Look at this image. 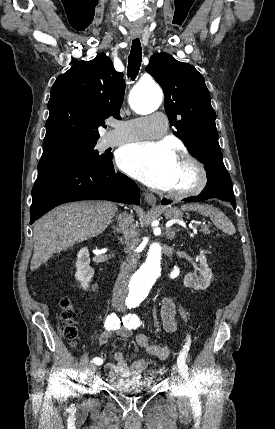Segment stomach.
<instances>
[{"label":"stomach","instance_id":"stomach-1","mask_svg":"<svg viewBox=\"0 0 275 429\" xmlns=\"http://www.w3.org/2000/svg\"><path fill=\"white\" fill-rule=\"evenodd\" d=\"M164 215L167 219L170 220H180L182 219V213L177 208H164L162 209Z\"/></svg>","mask_w":275,"mask_h":429}]
</instances>
